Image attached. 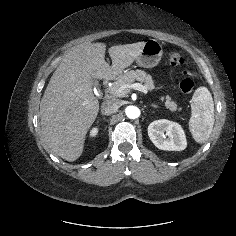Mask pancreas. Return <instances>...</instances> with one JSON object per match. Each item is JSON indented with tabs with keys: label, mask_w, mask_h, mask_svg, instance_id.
Instances as JSON below:
<instances>
[{
	"label": "pancreas",
	"mask_w": 236,
	"mask_h": 236,
	"mask_svg": "<svg viewBox=\"0 0 236 236\" xmlns=\"http://www.w3.org/2000/svg\"><path fill=\"white\" fill-rule=\"evenodd\" d=\"M134 81H139L141 83H144V86L149 91L155 90V84L152 76L147 74L143 70H135V71L131 70L117 76L115 82L112 84V86L109 87L108 90L111 94L117 95L115 92L119 87H121L124 84H132ZM160 100L162 102L164 101L165 107L170 111L174 112L178 109L176 102H174L169 95L161 96Z\"/></svg>",
	"instance_id": "1"
}]
</instances>
